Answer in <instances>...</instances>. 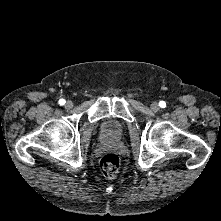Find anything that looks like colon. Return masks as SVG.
Instances as JSON below:
<instances>
[{
	"instance_id": "1",
	"label": "colon",
	"mask_w": 221,
	"mask_h": 221,
	"mask_svg": "<svg viewBox=\"0 0 221 221\" xmlns=\"http://www.w3.org/2000/svg\"><path fill=\"white\" fill-rule=\"evenodd\" d=\"M120 167V160L117 155L113 153L105 154L100 160V169L103 176L107 179L114 178Z\"/></svg>"
}]
</instances>
